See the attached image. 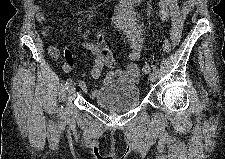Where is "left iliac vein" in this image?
Returning <instances> with one entry per match:
<instances>
[{"label":"left iliac vein","mask_w":225,"mask_h":159,"mask_svg":"<svg viewBox=\"0 0 225 159\" xmlns=\"http://www.w3.org/2000/svg\"><path fill=\"white\" fill-rule=\"evenodd\" d=\"M157 79V72L156 71H152L150 74V81L154 82Z\"/></svg>","instance_id":"4c4485c4"}]
</instances>
